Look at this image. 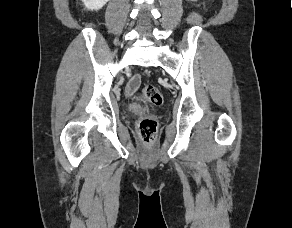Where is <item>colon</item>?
Here are the masks:
<instances>
[{"instance_id": "1", "label": "colon", "mask_w": 292, "mask_h": 228, "mask_svg": "<svg viewBox=\"0 0 292 228\" xmlns=\"http://www.w3.org/2000/svg\"><path fill=\"white\" fill-rule=\"evenodd\" d=\"M142 98L154 105H161L163 102V95L152 85H147L142 89ZM158 131V120L154 115H146L139 120V133L143 142L151 145L156 137Z\"/></svg>"}]
</instances>
